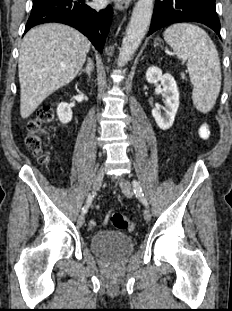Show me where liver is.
Returning <instances> with one entry per match:
<instances>
[{
    "label": "liver",
    "instance_id": "liver-1",
    "mask_svg": "<svg viewBox=\"0 0 232 311\" xmlns=\"http://www.w3.org/2000/svg\"><path fill=\"white\" fill-rule=\"evenodd\" d=\"M90 45L79 31L56 23L35 27L24 36L18 62L23 119L28 118L50 94L76 77Z\"/></svg>",
    "mask_w": 232,
    "mask_h": 311
}]
</instances>
